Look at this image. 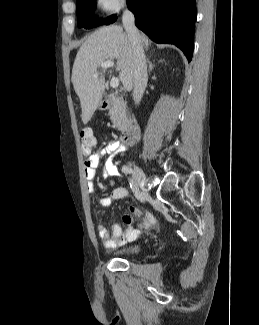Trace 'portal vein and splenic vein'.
I'll list each match as a JSON object with an SVG mask.
<instances>
[{
    "mask_svg": "<svg viewBox=\"0 0 259 325\" xmlns=\"http://www.w3.org/2000/svg\"><path fill=\"white\" fill-rule=\"evenodd\" d=\"M113 66H114V62L111 61V60H107V61H105V62H103V63L101 64V68H103V69H107V68H109V67H113ZM97 77H98V73H95V74L93 75V78H97ZM110 86H111L112 88H116V87H118V86H119V79L116 78V77H113V78L111 79V81H110Z\"/></svg>",
    "mask_w": 259,
    "mask_h": 325,
    "instance_id": "portal-vein-and-splenic-vein-1",
    "label": "portal vein and splenic vein"
}]
</instances>
